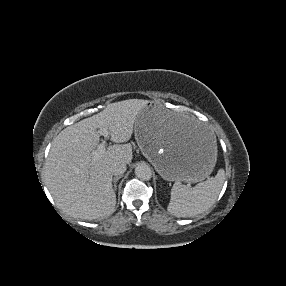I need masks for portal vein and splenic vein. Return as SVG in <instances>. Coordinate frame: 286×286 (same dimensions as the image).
Listing matches in <instances>:
<instances>
[{
  "instance_id": "1",
  "label": "portal vein and splenic vein",
  "mask_w": 286,
  "mask_h": 286,
  "mask_svg": "<svg viewBox=\"0 0 286 286\" xmlns=\"http://www.w3.org/2000/svg\"><path fill=\"white\" fill-rule=\"evenodd\" d=\"M100 135L104 136L105 140L109 138V132L107 128H102L99 130ZM103 140L102 143H100L97 146L96 150L92 151V159L93 161H97L98 159H100L106 152V147H105V143L106 141Z\"/></svg>"
}]
</instances>
